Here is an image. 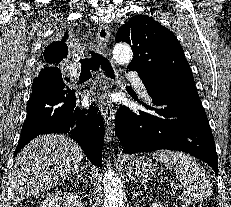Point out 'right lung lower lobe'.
<instances>
[{
    "instance_id": "98d812e1",
    "label": "right lung lower lobe",
    "mask_w": 231,
    "mask_h": 207,
    "mask_svg": "<svg viewBox=\"0 0 231 207\" xmlns=\"http://www.w3.org/2000/svg\"><path fill=\"white\" fill-rule=\"evenodd\" d=\"M68 37L67 33L65 35ZM104 124L99 109H81L74 90L65 86L61 71L44 68L33 80L27 117L14 156L40 134L65 133L76 141L95 165L102 163Z\"/></svg>"
}]
</instances>
